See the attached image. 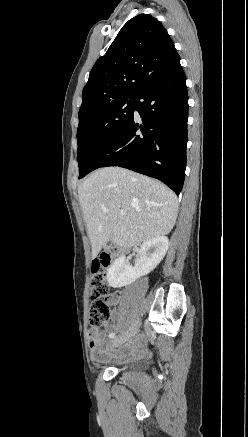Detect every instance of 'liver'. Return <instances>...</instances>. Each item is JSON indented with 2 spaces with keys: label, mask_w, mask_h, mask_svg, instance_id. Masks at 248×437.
Wrapping results in <instances>:
<instances>
[{
  "label": "liver",
  "mask_w": 248,
  "mask_h": 437,
  "mask_svg": "<svg viewBox=\"0 0 248 437\" xmlns=\"http://www.w3.org/2000/svg\"><path fill=\"white\" fill-rule=\"evenodd\" d=\"M78 197L92 258L109 241L127 249L169 234L178 214L177 197L167 186L120 167L93 172L79 185Z\"/></svg>",
  "instance_id": "obj_1"
}]
</instances>
